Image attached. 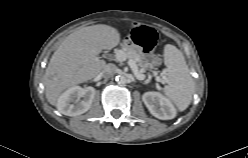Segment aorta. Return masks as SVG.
Returning a JSON list of instances; mask_svg holds the SVG:
<instances>
[{
    "label": "aorta",
    "mask_w": 248,
    "mask_h": 158,
    "mask_svg": "<svg viewBox=\"0 0 248 158\" xmlns=\"http://www.w3.org/2000/svg\"><path fill=\"white\" fill-rule=\"evenodd\" d=\"M116 80L119 84H125L127 81L126 77L124 76H118Z\"/></svg>",
    "instance_id": "aorta-1"
}]
</instances>
